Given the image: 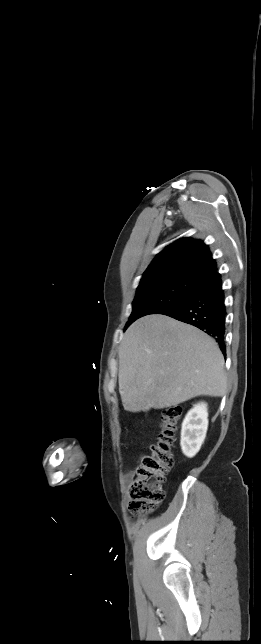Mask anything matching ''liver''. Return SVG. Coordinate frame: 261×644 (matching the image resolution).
<instances>
[{"label": "liver", "mask_w": 261, "mask_h": 644, "mask_svg": "<svg viewBox=\"0 0 261 644\" xmlns=\"http://www.w3.org/2000/svg\"><path fill=\"white\" fill-rule=\"evenodd\" d=\"M227 390L224 357L201 330L154 314L135 321L119 348V392L129 412L163 409Z\"/></svg>", "instance_id": "liver-1"}]
</instances>
